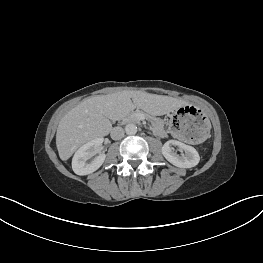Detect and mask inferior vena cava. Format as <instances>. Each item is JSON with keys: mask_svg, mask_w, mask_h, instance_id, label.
Listing matches in <instances>:
<instances>
[{"mask_svg": "<svg viewBox=\"0 0 263 263\" xmlns=\"http://www.w3.org/2000/svg\"><path fill=\"white\" fill-rule=\"evenodd\" d=\"M110 135L113 140H119L124 137V129L122 127H114Z\"/></svg>", "mask_w": 263, "mask_h": 263, "instance_id": "obj_1", "label": "inferior vena cava"}]
</instances>
